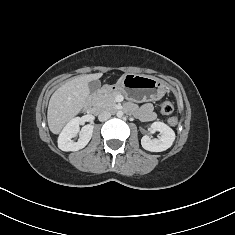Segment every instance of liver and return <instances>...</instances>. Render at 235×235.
I'll return each mask as SVG.
<instances>
[{
	"instance_id": "liver-1",
	"label": "liver",
	"mask_w": 235,
	"mask_h": 235,
	"mask_svg": "<svg viewBox=\"0 0 235 235\" xmlns=\"http://www.w3.org/2000/svg\"><path fill=\"white\" fill-rule=\"evenodd\" d=\"M102 75L95 73L71 78L52 94L47 110V121L53 134H59L65 124L81 112L90 94L88 83L98 80ZM123 76L117 82H120Z\"/></svg>"
}]
</instances>
